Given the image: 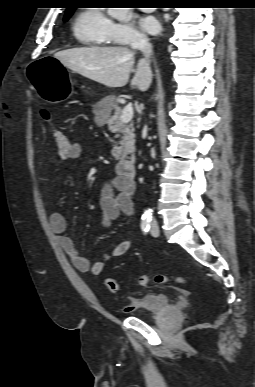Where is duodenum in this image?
<instances>
[{"label": "duodenum", "mask_w": 255, "mask_h": 387, "mask_svg": "<svg viewBox=\"0 0 255 387\" xmlns=\"http://www.w3.org/2000/svg\"><path fill=\"white\" fill-rule=\"evenodd\" d=\"M116 172L122 180L132 183L137 173L134 158L128 157L119 161L116 165Z\"/></svg>", "instance_id": "1"}]
</instances>
